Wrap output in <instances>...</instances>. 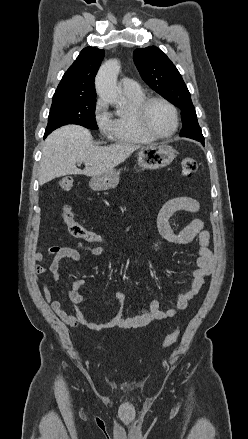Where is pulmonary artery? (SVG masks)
Instances as JSON below:
<instances>
[{
	"label": "pulmonary artery",
	"mask_w": 248,
	"mask_h": 439,
	"mask_svg": "<svg viewBox=\"0 0 248 439\" xmlns=\"http://www.w3.org/2000/svg\"><path fill=\"white\" fill-rule=\"evenodd\" d=\"M120 85L124 93H138L141 90L138 83L129 77L122 78Z\"/></svg>",
	"instance_id": "pulmonary-artery-1"
}]
</instances>
